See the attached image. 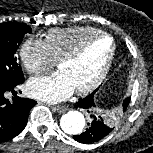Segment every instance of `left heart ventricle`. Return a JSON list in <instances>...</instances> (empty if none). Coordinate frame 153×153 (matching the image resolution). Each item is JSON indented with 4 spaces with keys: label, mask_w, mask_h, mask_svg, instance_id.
Segmentation results:
<instances>
[{
    "label": "left heart ventricle",
    "mask_w": 153,
    "mask_h": 153,
    "mask_svg": "<svg viewBox=\"0 0 153 153\" xmlns=\"http://www.w3.org/2000/svg\"><path fill=\"white\" fill-rule=\"evenodd\" d=\"M111 51V41L107 38L92 42L83 54L73 62L58 66L71 81L74 89L88 85L99 74Z\"/></svg>",
    "instance_id": "1"
}]
</instances>
